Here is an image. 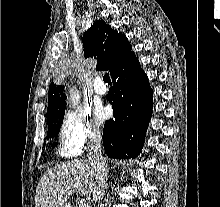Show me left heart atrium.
<instances>
[{
  "label": "left heart atrium",
  "instance_id": "1",
  "mask_svg": "<svg viewBox=\"0 0 220 207\" xmlns=\"http://www.w3.org/2000/svg\"><path fill=\"white\" fill-rule=\"evenodd\" d=\"M109 116V113L106 109L104 108H99L96 110L95 112V117H96V121L101 124L104 122V120H106Z\"/></svg>",
  "mask_w": 220,
  "mask_h": 207
}]
</instances>
